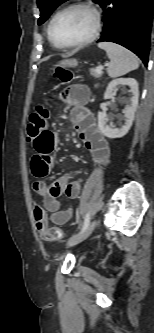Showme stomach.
<instances>
[{
  "mask_svg": "<svg viewBox=\"0 0 154 333\" xmlns=\"http://www.w3.org/2000/svg\"><path fill=\"white\" fill-rule=\"evenodd\" d=\"M77 64L78 62L76 59H66L59 63V65L63 67H75Z\"/></svg>",
  "mask_w": 154,
  "mask_h": 333,
  "instance_id": "stomach-1",
  "label": "stomach"
}]
</instances>
